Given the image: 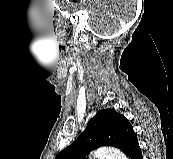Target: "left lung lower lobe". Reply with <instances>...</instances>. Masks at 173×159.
<instances>
[{"instance_id":"1","label":"left lung lower lobe","mask_w":173,"mask_h":159,"mask_svg":"<svg viewBox=\"0 0 173 159\" xmlns=\"http://www.w3.org/2000/svg\"><path fill=\"white\" fill-rule=\"evenodd\" d=\"M127 156L129 159H143L141 148L138 143L130 149Z\"/></svg>"}]
</instances>
